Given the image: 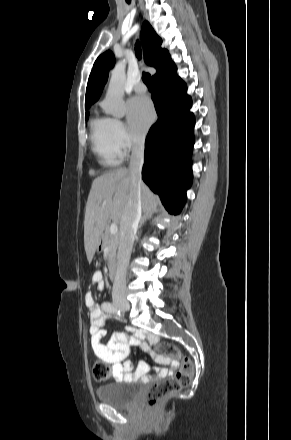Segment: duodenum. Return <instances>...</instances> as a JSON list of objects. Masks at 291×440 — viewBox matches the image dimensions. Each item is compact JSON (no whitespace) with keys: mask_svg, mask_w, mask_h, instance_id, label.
<instances>
[{"mask_svg":"<svg viewBox=\"0 0 291 440\" xmlns=\"http://www.w3.org/2000/svg\"><path fill=\"white\" fill-rule=\"evenodd\" d=\"M108 275H109V277H110V279L111 280H115L116 279V267H115V265L113 264V263H111L110 265H109V268H108Z\"/></svg>","mask_w":291,"mask_h":440,"instance_id":"duodenum-1","label":"duodenum"}]
</instances>
